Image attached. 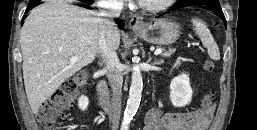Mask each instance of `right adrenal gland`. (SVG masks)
Returning <instances> with one entry per match:
<instances>
[{"label": "right adrenal gland", "instance_id": "2a0ac1e0", "mask_svg": "<svg viewBox=\"0 0 257 130\" xmlns=\"http://www.w3.org/2000/svg\"><path fill=\"white\" fill-rule=\"evenodd\" d=\"M99 64H100V65H102V64H103V62H100Z\"/></svg>", "mask_w": 257, "mask_h": 130}]
</instances>
